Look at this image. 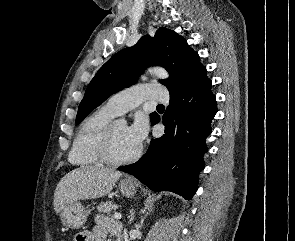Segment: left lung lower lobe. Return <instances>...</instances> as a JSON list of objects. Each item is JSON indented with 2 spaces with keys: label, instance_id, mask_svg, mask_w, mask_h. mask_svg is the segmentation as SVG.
<instances>
[{
  "label": "left lung lower lobe",
  "instance_id": "left-lung-lower-lobe-1",
  "mask_svg": "<svg viewBox=\"0 0 295 241\" xmlns=\"http://www.w3.org/2000/svg\"><path fill=\"white\" fill-rule=\"evenodd\" d=\"M211 85L205 71L182 91L170 93V105L162 117L165 134L151 141L139 161L118 170L134 175L153 191H171L191 199L204 169L206 138L217 112ZM159 121L157 115L153 124Z\"/></svg>",
  "mask_w": 295,
  "mask_h": 241
}]
</instances>
